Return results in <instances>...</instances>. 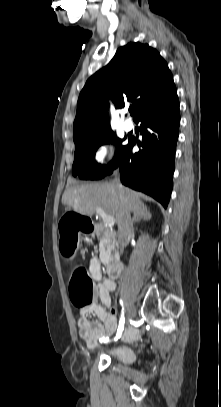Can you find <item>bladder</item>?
Masks as SVG:
<instances>
[{
  "instance_id": "31cf9c89",
  "label": "bladder",
  "mask_w": 221,
  "mask_h": 407,
  "mask_svg": "<svg viewBox=\"0 0 221 407\" xmlns=\"http://www.w3.org/2000/svg\"><path fill=\"white\" fill-rule=\"evenodd\" d=\"M111 355L123 364H128L132 361L133 351L127 347H119L112 351Z\"/></svg>"
}]
</instances>
